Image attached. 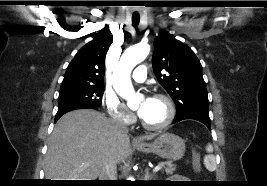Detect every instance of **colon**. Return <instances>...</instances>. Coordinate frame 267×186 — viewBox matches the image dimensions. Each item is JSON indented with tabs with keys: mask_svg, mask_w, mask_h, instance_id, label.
Instances as JSON below:
<instances>
[{
	"mask_svg": "<svg viewBox=\"0 0 267 186\" xmlns=\"http://www.w3.org/2000/svg\"><path fill=\"white\" fill-rule=\"evenodd\" d=\"M192 165L195 171H199L201 168L200 156L197 152L193 155Z\"/></svg>",
	"mask_w": 267,
	"mask_h": 186,
	"instance_id": "5ec220e1",
	"label": "colon"
}]
</instances>
